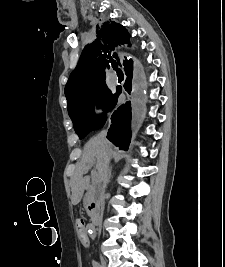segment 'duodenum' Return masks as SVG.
Returning <instances> with one entry per match:
<instances>
[{"instance_id":"obj_1","label":"duodenum","mask_w":225,"mask_h":267,"mask_svg":"<svg viewBox=\"0 0 225 267\" xmlns=\"http://www.w3.org/2000/svg\"><path fill=\"white\" fill-rule=\"evenodd\" d=\"M89 209H90V216H91L92 224L96 226L100 221V215L97 211V208L94 202L90 203Z\"/></svg>"}]
</instances>
